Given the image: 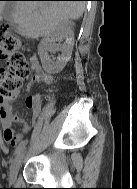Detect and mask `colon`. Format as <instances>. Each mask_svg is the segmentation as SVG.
Segmentation results:
<instances>
[{
  "label": "colon",
  "instance_id": "5ec220e1",
  "mask_svg": "<svg viewBox=\"0 0 137 189\" xmlns=\"http://www.w3.org/2000/svg\"><path fill=\"white\" fill-rule=\"evenodd\" d=\"M0 61L5 66L0 69V104L16 95L30 77V70L37 64L28 59L22 51L21 41L4 30H0ZM32 96L26 99L31 106Z\"/></svg>",
  "mask_w": 137,
  "mask_h": 189
}]
</instances>
